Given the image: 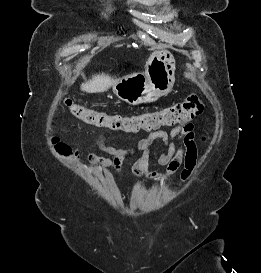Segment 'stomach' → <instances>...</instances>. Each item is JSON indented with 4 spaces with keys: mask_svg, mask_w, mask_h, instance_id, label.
Returning <instances> with one entry per match:
<instances>
[{
    "mask_svg": "<svg viewBox=\"0 0 261 273\" xmlns=\"http://www.w3.org/2000/svg\"><path fill=\"white\" fill-rule=\"evenodd\" d=\"M175 82V60L166 50L154 51L144 72L121 78L114 86L116 96L131 104L155 102L168 94Z\"/></svg>",
    "mask_w": 261,
    "mask_h": 273,
    "instance_id": "stomach-1",
    "label": "stomach"
}]
</instances>
